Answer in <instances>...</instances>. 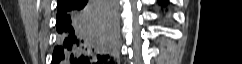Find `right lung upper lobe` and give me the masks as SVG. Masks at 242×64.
Listing matches in <instances>:
<instances>
[{"label": "right lung upper lobe", "mask_w": 242, "mask_h": 64, "mask_svg": "<svg viewBox=\"0 0 242 64\" xmlns=\"http://www.w3.org/2000/svg\"><path fill=\"white\" fill-rule=\"evenodd\" d=\"M66 0H58L57 8L60 7Z\"/></svg>", "instance_id": "cb5924a9"}]
</instances>
